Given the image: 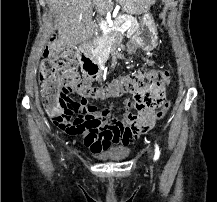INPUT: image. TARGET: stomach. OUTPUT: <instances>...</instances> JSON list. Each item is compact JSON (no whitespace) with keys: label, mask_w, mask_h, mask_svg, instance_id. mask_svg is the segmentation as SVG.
Masks as SVG:
<instances>
[{"label":"stomach","mask_w":217,"mask_h":202,"mask_svg":"<svg viewBox=\"0 0 217 202\" xmlns=\"http://www.w3.org/2000/svg\"><path fill=\"white\" fill-rule=\"evenodd\" d=\"M157 36V28L153 16L150 12H145L138 30L133 34L130 42H128L129 52H135L137 48L144 50V52H152L157 46Z\"/></svg>","instance_id":"obj_1"}]
</instances>
